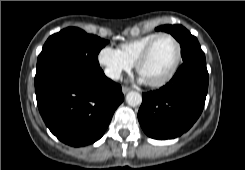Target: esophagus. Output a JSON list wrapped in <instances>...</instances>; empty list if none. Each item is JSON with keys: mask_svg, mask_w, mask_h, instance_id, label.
<instances>
[{"mask_svg": "<svg viewBox=\"0 0 245 170\" xmlns=\"http://www.w3.org/2000/svg\"><path fill=\"white\" fill-rule=\"evenodd\" d=\"M130 89L128 87H122V92L126 94Z\"/></svg>", "mask_w": 245, "mask_h": 170, "instance_id": "esophagus-1", "label": "esophagus"}]
</instances>
